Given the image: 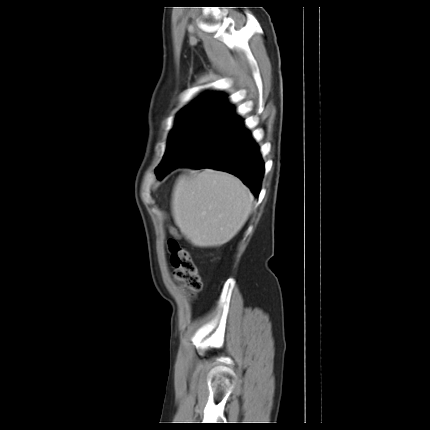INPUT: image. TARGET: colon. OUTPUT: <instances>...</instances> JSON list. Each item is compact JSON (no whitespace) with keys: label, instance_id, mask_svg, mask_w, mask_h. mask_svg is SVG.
Returning a JSON list of instances; mask_svg holds the SVG:
<instances>
[{"label":"colon","instance_id":"colon-1","mask_svg":"<svg viewBox=\"0 0 430 430\" xmlns=\"http://www.w3.org/2000/svg\"><path fill=\"white\" fill-rule=\"evenodd\" d=\"M167 248L175 280L192 294L198 293L202 282L190 252L174 238L167 241Z\"/></svg>","mask_w":430,"mask_h":430}]
</instances>
